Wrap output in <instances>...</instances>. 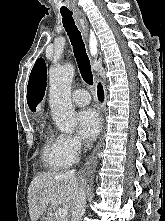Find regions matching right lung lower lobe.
Here are the masks:
<instances>
[{"mask_svg": "<svg viewBox=\"0 0 165 221\" xmlns=\"http://www.w3.org/2000/svg\"><path fill=\"white\" fill-rule=\"evenodd\" d=\"M98 97L100 100H103V90L100 85L98 86Z\"/></svg>", "mask_w": 165, "mask_h": 221, "instance_id": "right-lung-lower-lobe-1", "label": "right lung lower lobe"}]
</instances>
